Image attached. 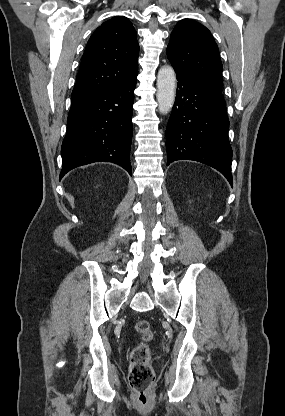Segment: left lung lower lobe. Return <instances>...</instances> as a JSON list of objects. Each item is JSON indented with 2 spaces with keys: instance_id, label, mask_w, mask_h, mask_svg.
I'll list each match as a JSON object with an SVG mask.
<instances>
[{
  "instance_id": "0a47b994",
  "label": "left lung lower lobe",
  "mask_w": 285,
  "mask_h": 416,
  "mask_svg": "<svg viewBox=\"0 0 285 416\" xmlns=\"http://www.w3.org/2000/svg\"><path fill=\"white\" fill-rule=\"evenodd\" d=\"M176 75L177 96L166 128L167 165L182 159L202 162L219 170L233 186L222 93Z\"/></svg>"
}]
</instances>
